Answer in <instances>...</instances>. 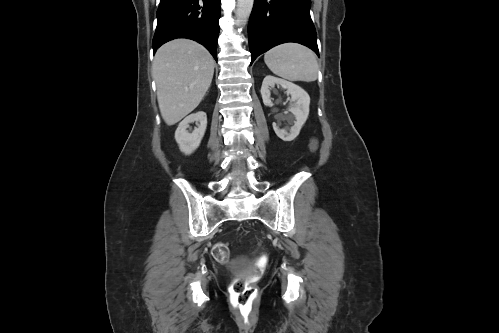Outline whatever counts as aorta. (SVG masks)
Returning <instances> with one entry per match:
<instances>
[{"mask_svg":"<svg viewBox=\"0 0 499 333\" xmlns=\"http://www.w3.org/2000/svg\"><path fill=\"white\" fill-rule=\"evenodd\" d=\"M254 0H237L236 19L239 27L246 24L253 8Z\"/></svg>","mask_w":499,"mask_h":333,"instance_id":"obj_1","label":"aorta"}]
</instances>
